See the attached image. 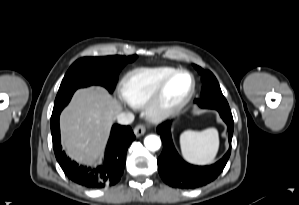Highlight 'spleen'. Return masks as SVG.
<instances>
[{
  "label": "spleen",
  "mask_w": 299,
  "mask_h": 205,
  "mask_svg": "<svg viewBox=\"0 0 299 205\" xmlns=\"http://www.w3.org/2000/svg\"><path fill=\"white\" fill-rule=\"evenodd\" d=\"M180 147L183 157L193 164L211 163L219 149L218 131L208 128L203 131H185L180 135Z\"/></svg>",
  "instance_id": "obj_1"
}]
</instances>
